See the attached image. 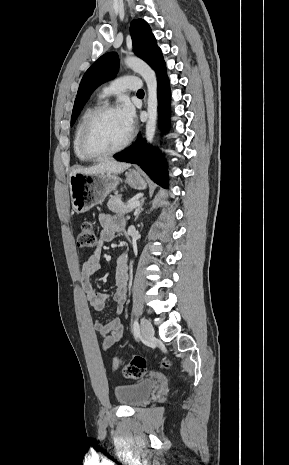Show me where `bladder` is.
Returning a JSON list of instances; mask_svg holds the SVG:
<instances>
[{"mask_svg":"<svg viewBox=\"0 0 289 465\" xmlns=\"http://www.w3.org/2000/svg\"><path fill=\"white\" fill-rule=\"evenodd\" d=\"M155 387V380L147 379L137 383L119 385L115 387L114 393L120 404L136 407L149 399Z\"/></svg>","mask_w":289,"mask_h":465,"instance_id":"1","label":"bladder"}]
</instances>
